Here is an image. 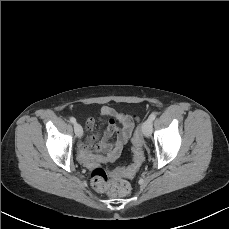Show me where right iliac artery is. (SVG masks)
<instances>
[{
	"mask_svg": "<svg viewBox=\"0 0 229 229\" xmlns=\"http://www.w3.org/2000/svg\"><path fill=\"white\" fill-rule=\"evenodd\" d=\"M70 122L73 123V124H75L76 123V119L74 117H71L70 118Z\"/></svg>",
	"mask_w": 229,
	"mask_h": 229,
	"instance_id": "right-iliac-artery-1",
	"label": "right iliac artery"
}]
</instances>
